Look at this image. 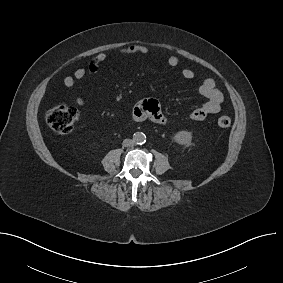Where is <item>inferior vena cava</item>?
<instances>
[{
  "label": "inferior vena cava",
  "mask_w": 283,
  "mask_h": 283,
  "mask_svg": "<svg viewBox=\"0 0 283 283\" xmlns=\"http://www.w3.org/2000/svg\"><path fill=\"white\" fill-rule=\"evenodd\" d=\"M124 147H131L134 145V141L132 139H125L122 143Z\"/></svg>",
  "instance_id": "obj_1"
}]
</instances>
